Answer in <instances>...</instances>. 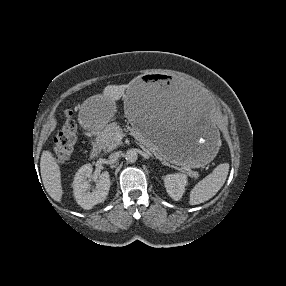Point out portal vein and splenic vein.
<instances>
[{"instance_id":"portal-vein-and-splenic-vein-1","label":"portal vein and splenic vein","mask_w":286,"mask_h":286,"mask_svg":"<svg viewBox=\"0 0 286 286\" xmlns=\"http://www.w3.org/2000/svg\"><path fill=\"white\" fill-rule=\"evenodd\" d=\"M117 137H118L119 139H122V138H123V135H122V134H118ZM138 144H139V146H140L147 154H149V155L152 157V154H151L147 149H145V147H144L141 143H138Z\"/></svg>"}]
</instances>
